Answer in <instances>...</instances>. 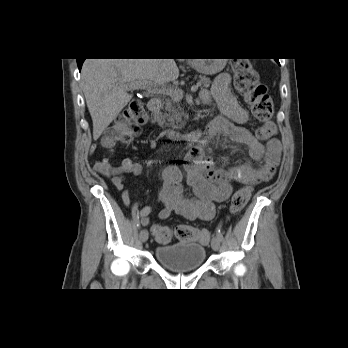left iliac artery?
<instances>
[{"label":"left iliac artery","instance_id":"obj_1","mask_svg":"<svg viewBox=\"0 0 348 348\" xmlns=\"http://www.w3.org/2000/svg\"><path fill=\"white\" fill-rule=\"evenodd\" d=\"M216 236L218 237V239H219L220 241H223L224 238H223V234H222L220 228L217 229V231H216Z\"/></svg>","mask_w":348,"mask_h":348}]
</instances>
